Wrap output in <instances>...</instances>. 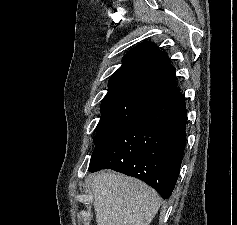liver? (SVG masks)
<instances>
[{
  "mask_svg": "<svg viewBox=\"0 0 237 225\" xmlns=\"http://www.w3.org/2000/svg\"><path fill=\"white\" fill-rule=\"evenodd\" d=\"M92 190L97 225H149L161 205L147 184L113 172L94 176Z\"/></svg>",
  "mask_w": 237,
  "mask_h": 225,
  "instance_id": "obj_1",
  "label": "liver"
}]
</instances>
